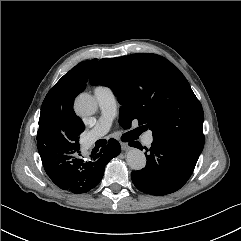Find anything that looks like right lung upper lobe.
I'll list each match as a JSON object with an SVG mask.
<instances>
[{"label":"right lung upper lobe","instance_id":"1","mask_svg":"<svg viewBox=\"0 0 241 241\" xmlns=\"http://www.w3.org/2000/svg\"><path fill=\"white\" fill-rule=\"evenodd\" d=\"M96 62L93 59L79 63L48 92L41 107L37 147H57L79 139L85 125L75 115L73 101L84 91Z\"/></svg>","mask_w":241,"mask_h":241}]
</instances>
